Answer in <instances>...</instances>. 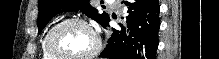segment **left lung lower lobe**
Here are the masks:
<instances>
[{"label": "left lung lower lobe", "instance_id": "obj_1", "mask_svg": "<svg viewBox=\"0 0 219 59\" xmlns=\"http://www.w3.org/2000/svg\"><path fill=\"white\" fill-rule=\"evenodd\" d=\"M128 15L113 29L106 48L99 55L107 59H156L160 27L158 0H126ZM109 20L103 27L109 26Z\"/></svg>", "mask_w": 219, "mask_h": 59}]
</instances>
